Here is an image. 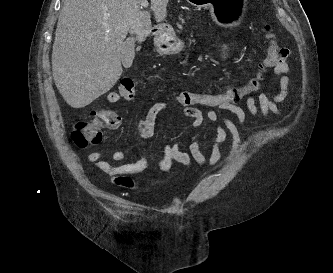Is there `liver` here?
I'll list each match as a JSON object with an SVG mask.
<instances>
[{"label": "liver", "instance_id": "obj_1", "mask_svg": "<svg viewBox=\"0 0 333 273\" xmlns=\"http://www.w3.org/2000/svg\"><path fill=\"white\" fill-rule=\"evenodd\" d=\"M144 0H65L52 49V73L64 100L83 108L120 79L121 50L128 32L138 42L151 29ZM169 0H151L157 23L167 17Z\"/></svg>", "mask_w": 333, "mask_h": 273}]
</instances>
